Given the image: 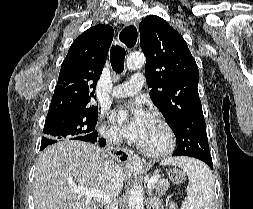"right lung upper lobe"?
I'll return each instance as SVG.
<instances>
[{"instance_id":"right-lung-upper-lobe-1","label":"right lung upper lobe","mask_w":253,"mask_h":209,"mask_svg":"<svg viewBox=\"0 0 253 209\" xmlns=\"http://www.w3.org/2000/svg\"><path fill=\"white\" fill-rule=\"evenodd\" d=\"M114 30L109 25L90 27L71 45L59 73L47 116L66 109L93 107L95 89L107 59Z\"/></svg>"}]
</instances>
